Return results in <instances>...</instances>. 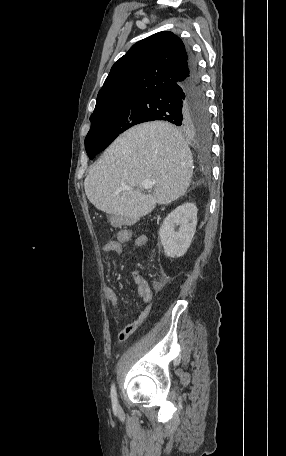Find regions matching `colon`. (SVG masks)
<instances>
[{"label": "colon", "mask_w": 286, "mask_h": 456, "mask_svg": "<svg viewBox=\"0 0 286 456\" xmlns=\"http://www.w3.org/2000/svg\"><path fill=\"white\" fill-rule=\"evenodd\" d=\"M156 286H157V287H159V286H160V284H159V283H157V284H156Z\"/></svg>", "instance_id": "colon-1"}]
</instances>
